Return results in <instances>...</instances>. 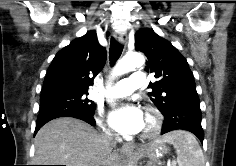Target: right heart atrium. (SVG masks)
<instances>
[{"label":"right heart atrium","instance_id":"d8ad5b80","mask_svg":"<svg viewBox=\"0 0 236 166\" xmlns=\"http://www.w3.org/2000/svg\"><path fill=\"white\" fill-rule=\"evenodd\" d=\"M95 119H96V123L97 125L100 127V129L102 130V132L109 136V137H113V133L112 131L107 127L105 120H104V115L103 112L101 110H97L96 115H95Z\"/></svg>","mask_w":236,"mask_h":166}]
</instances>
